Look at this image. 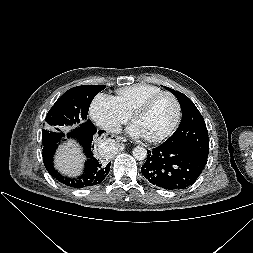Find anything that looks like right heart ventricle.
I'll return each instance as SVG.
<instances>
[{"label":"right heart ventricle","instance_id":"1","mask_svg":"<svg viewBox=\"0 0 253 253\" xmlns=\"http://www.w3.org/2000/svg\"><path fill=\"white\" fill-rule=\"evenodd\" d=\"M161 91L162 89L156 85L135 84L119 88L113 99L120 110L129 117L142 102Z\"/></svg>","mask_w":253,"mask_h":253}]
</instances>
